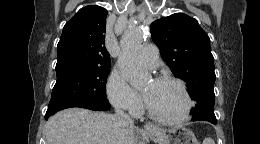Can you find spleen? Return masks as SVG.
<instances>
[{"label":"spleen","mask_w":260,"mask_h":144,"mask_svg":"<svg viewBox=\"0 0 260 144\" xmlns=\"http://www.w3.org/2000/svg\"><path fill=\"white\" fill-rule=\"evenodd\" d=\"M203 144H215V142L210 137H207L204 139Z\"/></svg>","instance_id":"3e777b00"}]
</instances>
